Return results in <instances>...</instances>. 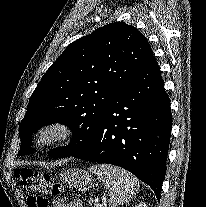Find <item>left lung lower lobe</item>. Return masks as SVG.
I'll return each instance as SVG.
<instances>
[{
  "instance_id": "obj_1",
  "label": "left lung lower lobe",
  "mask_w": 206,
  "mask_h": 207,
  "mask_svg": "<svg viewBox=\"0 0 206 207\" xmlns=\"http://www.w3.org/2000/svg\"><path fill=\"white\" fill-rule=\"evenodd\" d=\"M163 84L153 56L109 104L91 143L70 156L125 168L159 200L172 128Z\"/></svg>"
}]
</instances>
